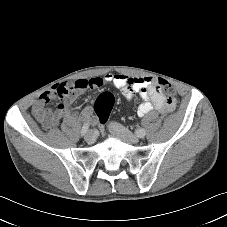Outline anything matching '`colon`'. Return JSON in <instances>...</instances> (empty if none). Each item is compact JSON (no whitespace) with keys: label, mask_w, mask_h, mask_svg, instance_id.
Wrapping results in <instances>:
<instances>
[{"label":"colon","mask_w":227,"mask_h":227,"mask_svg":"<svg viewBox=\"0 0 227 227\" xmlns=\"http://www.w3.org/2000/svg\"><path fill=\"white\" fill-rule=\"evenodd\" d=\"M162 91L167 95H172V87L164 80L160 81ZM114 105V97L110 92H102L95 101V112L99 122L105 123Z\"/></svg>","instance_id":"5ec220e1"}]
</instances>
